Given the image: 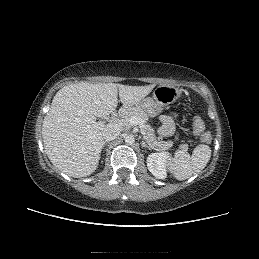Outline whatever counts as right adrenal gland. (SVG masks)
Instances as JSON below:
<instances>
[{"mask_svg":"<svg viewBox=\"0 0 259 259\" xmlns=\"http://www.w3.org/2000/svg\"><path fill=\"white\" fill-rule=\"evenodd\" d=\"M109 143L108 141H104L103 143V147H105V144Z\"/></svg>","mask_w":259,"mask_h":259,"instance_id":"obj_1","label":"right adrenal gland"}]
</instances>
